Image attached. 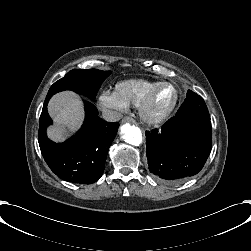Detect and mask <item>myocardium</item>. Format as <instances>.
Segmentation results:
<instances>
[{
	"mask_svg": "<svg viewBox=\"0 0 251 251\" xmlns=\"http://www.w3.org/2000/svg\"><path fill=\"white\" fill-rule=\"evenodd\" d=\"M165 83H172L177 90V100L175 104L169 108L168 110L154 114L151 112V104L154 99V96L159 89V87ZM183 100V90L182 88L172 79L162 78L158 80L147 92L146 96L144 97L143 101L140 103L138 107L139 115L143 121L148 124H159L168 119L181 105Z\"/></svg>",
	"mask_w": 251,
	"mask_h": 251,
	"instance_id": "f54148a6",
	"label": "myocardium"
}]
</instances>
